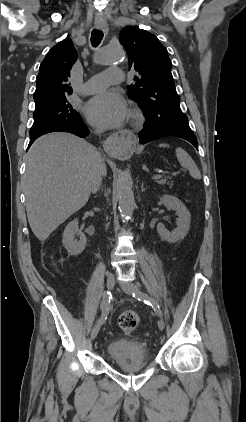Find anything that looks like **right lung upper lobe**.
<instances>
[{"instance_id":"right-lung-upper-lobe-1","label":"right lung upper lobe","mask_w":246,"mask_h":422,"mask_svg":"<svg viewBox=\"0 0 246 422\" xmlns=\"http://www.w3.org/2000/svg\"><path fill=\"white\" fill-rule=\"evenodd\" d=\"M77 60L71 39H64L51 48L40 65L34 93L35 109L72 94L68 80Z\"/></svg>"}]
</instances>
